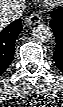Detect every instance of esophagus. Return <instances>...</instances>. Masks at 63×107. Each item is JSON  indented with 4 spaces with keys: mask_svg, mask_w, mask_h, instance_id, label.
<instances>
[{
    "mask_svg": "<svg viewBox=\"0 0 63 107\" xmlns=\"http://www.w3.org/2000/svg\"><path fill=\"white\" fill-rule=\"evenodd\" d=\"M41 20V17L38 13L32 12L29 17L27 18V23L28 24H37Z\"/></svg>",
    "mask_w": 63,
    "mask_h": 107,
    "instance_id": "esophagus-1",
    "label": "esophagus"
}]
</instances>
